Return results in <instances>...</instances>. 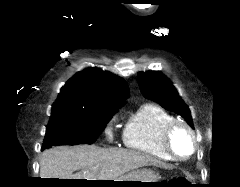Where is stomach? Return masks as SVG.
Listing matches in <instances>:
<instances>
[{"instance_id":"stomach-1","label":"stomach","mask_w":240,"mask_h":187,"mask_svg":"<svg viewBox=\"0 0 240 187\" xmlns=\"http://www.w3.org/2000/svg\"><path fill=\"white\" fill-rule=\"evenodd\" d=\"M123 181V182H114ZM145 182H160L159 176L150 169H141L132 171L119 179L112 180L110 186L117 187H157L159 183H145Z\"/></svg>"}]
</instances>
